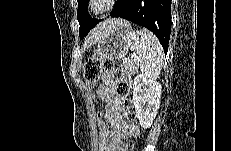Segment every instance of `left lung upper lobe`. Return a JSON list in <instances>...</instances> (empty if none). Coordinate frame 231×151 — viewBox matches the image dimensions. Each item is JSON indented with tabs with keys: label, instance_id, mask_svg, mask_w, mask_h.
I'll list each match as a JSON object with an SVG mask.
<instances>
[{
	"label": "left lung upper lobe",
	"instance_id": "1",
	"mask_svg": "<svg viewBox=\"0 0 231 151\" xmlns=\"http://www.w3.org/2000/svg\"><path fill=\"white\" fill-rule=\"evenodd\" d=\"M78 1V14L77 20L79 21V35L80 38H84L88 32L100 22V20L92 19L89 17L87 12L88 1L89 0H77ZM127 1L129 4L131 0H118L116 5L122 4V2Z\"/></svg>",
	"mask_w": 231,
	"mask_h": 151
}]
</instances>
